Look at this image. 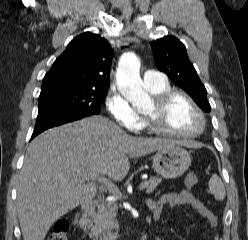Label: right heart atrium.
I'll return each instance as SVG.
<instances>
[{"instance_id": "d8ad5b80", "label": "right heart atrium", "mask_w": 248, "mask_h": 240, "mask_svg": "<svg viewBox=\"0 0 248 240\" xmlns=\"http://www.w3.org/2000/svg\"><path fill=\"white\" fill-rule=\"evenodd\" d=\"M107 109L110 115L130 131H138L143 126L142 117L129 102L115 89L107 97Z\"/></svg>"}]
</instances>
